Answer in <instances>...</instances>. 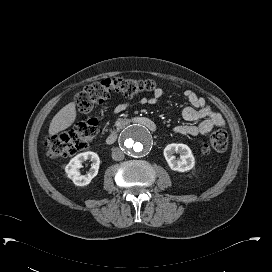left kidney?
Instances as JSON below:
<instances>
[{
    "instance_id": "obj_1",
    "label": "left kidney",
    "mask_w": 272,
    "mask_h": 272,
    "mask_svg": "<svg viewBox=\"0 0 272 272\" xmlns=\"http://www.w3.org/2000/svg\"><path fill=\"white\" fill-rule=\"evenodd\" d=\"M174 153H179L180 158L176 160ZM164 157L168 166L173 171L187 172L195 165V159L191 149L185 144L172 143L165 147Z\"/></svg>"
}]
</instances>
